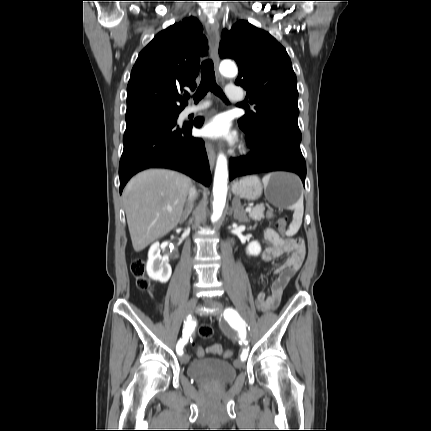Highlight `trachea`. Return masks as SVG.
I'll list each match as a JSON object with an SVG mask.
<instances>
[{"instance_id":"trachea-1","label":"trachea","mask_w":431,"mask_h":431,"mask_svg":"<svg viewBox=\"0 0 431 431\" xmlns=\"http://www.w3.org/2000/svg\"><path fill=\"white\" fill-rule=\"evenodd\" d=\"M208 91L213 92L223 101L228 102L221 88L216 84L214 64L211 59H206L201 63V83L194 95L195 103H198ZM189 94H185V98H189Z\"/></svg>"}]
</instances>
